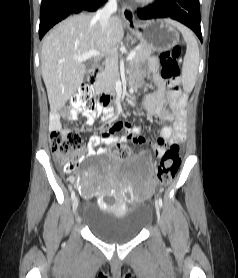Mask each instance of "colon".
<instances>
[{"label":"colon","mask_w":238,"mask_h":278,"mask_svg":"<svg viewBox=\"0 0 238 278\" xmlns=\"http://www.w3.org/2000/svg\"><path fill=\"white\" fill-rule=\"evenodd\" d=\"M181 55V48L175 47L171 51L161 53L159 60L161 64V76L168 82H177L180 74L178 60ZM70 106L74 109H83L87 112H94L97 102L94 98L93 88L82 85L79 91L70 99ZM81 146V138L75 132L69 130H54L50 134V147L55 163L67 172L73 171L78 163V151ZM160 149H167L162 155L157 168V178L163 185H168L177 173L181 154L177 144H160ZM112 154L117 159H124L129 155V150L123 145H114Z\"/></svg>","instance_id":"colon-1"}]
</instances>
